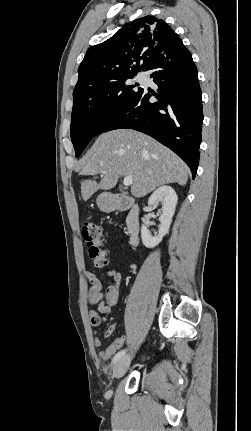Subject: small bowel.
Masks as SVG:
<instances>
[{"label": "small bowel", "instance_id": "c3829d8e", "mask_svg": "<svg viewBox=\"0 0 251 431\" xmlns=\"http://www.w3.org/2000/svg\"><path fill=\"white\" fill-rule=\"evenodd\" d=\"M106 274L112 280L106 288L105 293H102V283L97 275L92 271H87L85 273L87 279L91 283V288L88 293V302L91 305L97 306L96 309L89 311L90 324L93 328L99 327L102 323L108 320L109 315L111 314V309L117 303L119 298L120 285L122 281L121 273L114 268H110L107 270ZM116 327V321L109 324L101 339L110 337L114 333ZM101 339H96V345H100ZM106 351L108 350H99L96 353V356L105 361L104 356Z\"/></svg>", "mask_w": 251, "mask_h": 431}]
</instances>
